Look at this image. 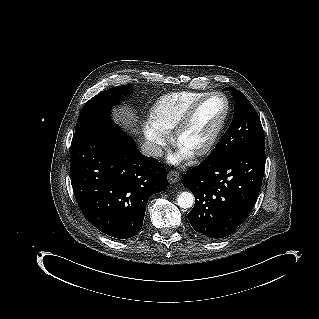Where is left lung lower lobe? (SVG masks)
I'll return each instance as SVG.
<instances>
[{
  "label": "left lung lower lobe",
  "mask_w": 319,
  "mask_h": 319,
  "mask_svg": "<svg viewBox=\"0 0 319 319\" xmlns=\"http://www.w3.org/2000/svg\"><path fill=\"white\" fill-rule=\"evenodd\" d=\"M265 147L233 153L217 162L204 160L182 176L195 196L188 220L200 236L220 239L230 235L250 214L265 170Z\"/></svg>",
  "instance_id": "1"
}]
</instances>
